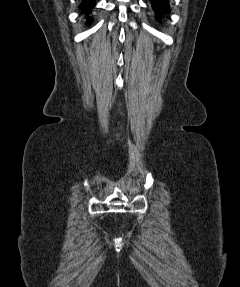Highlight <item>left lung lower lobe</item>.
I'll use <instances>...</instances> for the list:
<instances>
[{
	"label": "left lung lower lobe",
	"instance_id": "0a47b994",
	"mask_svg": "<svg viewBox=\"0 0 240 287\" xmlns=\"http://www.w3.org/2000/svg\"><path fill=\"white\" fill-rule=\"evenodd\" d=\"M153 9L157 16L165 14L169 10V5L167 0H151Z\"/></svg>",
	"mask_w": 240,
	"mask_h": 287
}]
</instances>
